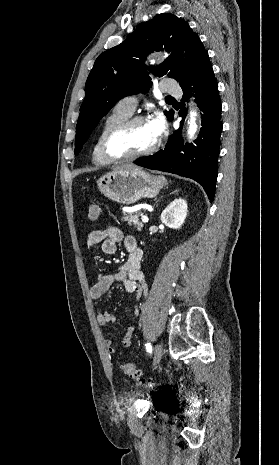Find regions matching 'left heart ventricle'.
Listing matches in <instances>:
<instances>
[{
  "instance_id": "1",
  "label": "left heart ventricle",
  "mask_w": 279,
  "mask_h": 465,
  "mask_svg": "<svg viewBox=\"0 0 279 465\" xmlns=\"http://www.w3.org/2000/svg\"><path fill=\"white\" fill-rule=\"evenodd\" d=\"M155 139L150 124L139 123L114 137L111 151L117 155L141 152L149 148Z\"/></svg>"
}]
</instances>
